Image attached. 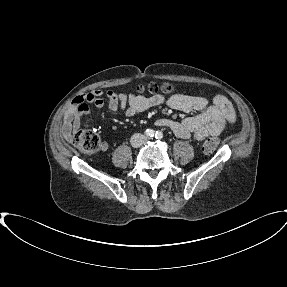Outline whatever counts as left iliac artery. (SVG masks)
Here are the masks:
<instances>
[{
	"label": "left iliac artery",
	"mask_w": 287,
	"mask_h": 287,
	"mask_svg": "<svg viewBox=\"0 0 287 287\" xmlns=\"http://www.w3.org/2000/svg\"><path fill=\"white\" fill-rule=\"evenodd\" d=\"M155 138H156V139H162V138H163V133H162L161 131H157V132L155 133Z\"/></svg>",
	"instance_id": "obj_1"
}]
</instances>
